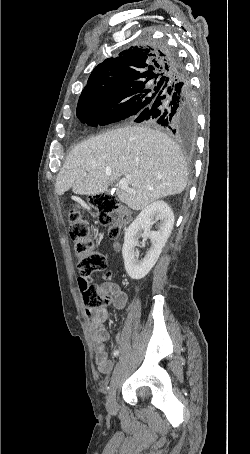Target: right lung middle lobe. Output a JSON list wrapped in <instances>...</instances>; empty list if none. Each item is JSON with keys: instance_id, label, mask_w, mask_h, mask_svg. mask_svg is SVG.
<instances>
[{"instance_id": "right-lung-middle-lobe-1", "label": "right lung middle lobe", "mask_w": 250, "mask_h": 454, "mask_svg": "<svg viewBox=\"0 0 250 454\" xmlns=\"http://www.w3.org/2000/svg\"><path fill=\"white\" fill-rule=\"evenodd\" d=\"M160 85L146 89V84L102 102H88L77 105V117L90 126L106 125L132 115H137L156 97Z\"/></svg>"}]
</instances>
